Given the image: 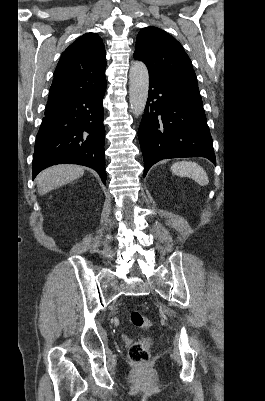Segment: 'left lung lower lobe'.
Instances as JSON below:
<instances>
[{
	"label": "left lung lower lobe",
	"instance_id": "obj_1",
	"mask_svg": "<svg viewBox=\"0 0 265 401\" xmlns=\"http://www.w3.org/2000/svg\"><path fill=\"white\" fill-rule=\"evenodd\" d=\"M144 177L162 159L205 157L216 164L213 141L197 86L149 77L147 105L138 130Z\"/></svg>",
	"mask_w": 265,
	"mask_h": 401
}]
</instances>
